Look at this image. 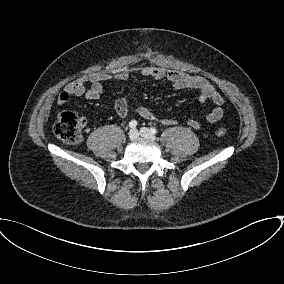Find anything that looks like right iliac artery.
<instances>
[{
    "label": "right iliac artery",
    "instance_id": "obj_1",
    "mask_svg": "<svg viewBox=\"0 0 284 284\" xmlns=\"http://www.w3.org/2000/svg\"><path fill=\"white\" fill-rule=\"evenodd\" d=\"M137 126V121L136 120H131L130 122H129V127L130 128H135Z\"/></svg>",
    "mask_w": 284,
    "mask_h": 284
}]
</instances>
